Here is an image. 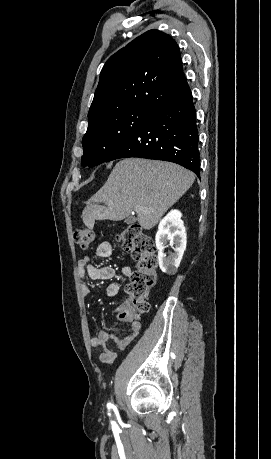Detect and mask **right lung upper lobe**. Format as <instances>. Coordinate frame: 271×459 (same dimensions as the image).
Segmentation results:
<instances>
[{"label": "right lung upper lobe", "instance_id": "right-lung-upper-lobe-1", "mask_svg": "<svg viewBox=\"0 0 271 459\" xmlns=\"http://www.w3.org/2000/svg\"><path fill=\"white\" fill-rule=\"evenodd\" d=\"M187 85L177 43L161 31H147L105 63L88 121L135 106L157 109Z\"/></svg>", "mask_w": 271, "mask_h": 459}]
</instances>
